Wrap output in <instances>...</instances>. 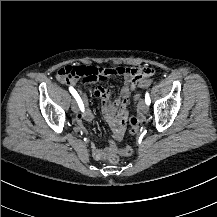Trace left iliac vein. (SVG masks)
<instances>
[{"label": "left iliac vein", "mask_w": 217, "mask_h": 217, "mask_svg": "<svg viewBox=\"0 0 217 217\" xmlns=\"http://www.w3.org/2000/svg\"><path fill=\"white\" fill-rule=\"evenodd\" d=\"M148 105L145 102H141L140 104V110L144 113L148 112Z\"/></svg>", "instance_id": "obj_1"}]
</instances>
